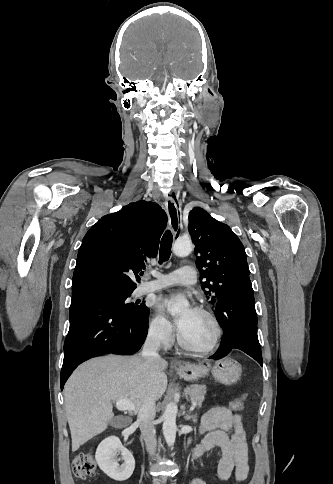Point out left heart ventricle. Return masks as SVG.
<instances>
[{
    "instance_id": "left-heart-ventricle-1",
    "label": "left heart ventricle",
    "mask_w": 333,
    "mask_h": 484,
    "mask_svg": "<svg viewBox=\"0 0 333 484\" xmlns=\"http://www.w3.org/2000/svg\"><path fill=\"white\" fill-rule=\"evenodd\" d=\"M179 332L189 345L204 348L212 342L215 328L207 316L192 310L187 315Z\"/></svg>"
}]
</instances>
